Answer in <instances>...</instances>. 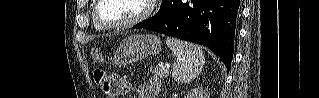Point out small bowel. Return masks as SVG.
Wrapping results in <instances>:
<instances>
[{
	"label": "small bowel",
	"instance_id": "1",
	"mask_svg": "<svg viewBox=\"0 0 319 98\" xmlns=\"http://www.w3.org/2000/svg\"><path fill=\"white\" fill-rule=\"evenodd\" d=\"M111 81L114 85L118 86L119 93L121 94L128 93L131 90L130 83L122 78L113 77ZM159 87L160 84L157 79H152L150 84L139 85L137 88L138 98H155V94Z\"/></svg>",
	"mask_w": 319,
	"mask_h": 98
}]
</instances>
